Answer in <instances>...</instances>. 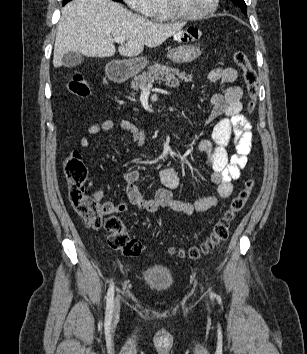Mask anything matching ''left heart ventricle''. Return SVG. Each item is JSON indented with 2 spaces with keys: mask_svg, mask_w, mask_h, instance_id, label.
<instances>
[{
  "mask_svg": "<svg viewBox=\"0 0 307 354\" xmlns=\"http://www.w3.org/2000/svg\"><path fill=\"white\" fill-rule=\"evenodd\" d=\"M178 8L187 14H198L205 11L212 0H175Z\"/></svg>",
  "mask_w": 307,
  "mask_h": 354,
  "instance_id": "left-heart-ventricle-1",
  "label": "left heart ventricle"
}]
</instances>
